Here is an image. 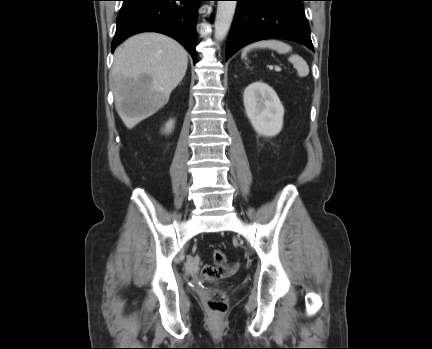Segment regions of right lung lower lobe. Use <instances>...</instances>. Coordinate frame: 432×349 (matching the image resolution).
I'll return each instance as SVG.
<instances>
[{
    "mask_svg": "<svg viewBox=\"0 0 432 349\" xmlns=\"http://www.w3.org/2000/svg\"><path fill=\"white\" fill-rule=\"evenodd\" d=\"M112 52L128 37L155 31L179 41L196 62V20L199 1L205 0H122Z\"/></svg>",
    "mask_w": 432,
    "mask_h": 349,
    "instance_id": "right-lung-lower-lobe-1",
    "label": "right lung lower lobe"
}]
</instances>
